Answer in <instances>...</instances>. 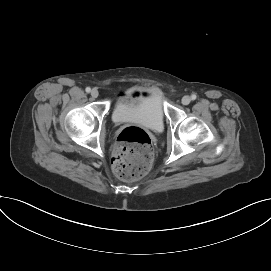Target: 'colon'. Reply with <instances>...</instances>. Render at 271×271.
<instances>
[{"instance_id":"colon-1","label":"colon","mask_w":271,"mask_h":271,"mask_svg":"<svg viewBox=\"0 0 271 271\" xmlns=\"http://www.w3.org/2000/svg\"><path fill=\"white\" fill-rule=\"evenodd\" d=\"M152 156L149 134L140 127H127L117 138L111 159L112 170L122 180L138 179L148 172Z\"/></svg>"}]
</instances>
